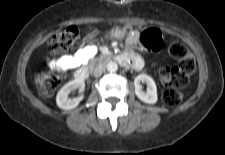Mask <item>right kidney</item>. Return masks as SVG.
<instances>
[{
  "instance_id": "1",
  "label": "right kidney",
  "mask_w": 225,
  "mask_h": 155,
  "mask_svg": "<svg viewBox=\"0 0 225 155\" xmlns=\"http://www.w3.org/2000/svg\"><path fill=\"white\" fill-rule=\"evenodd\" d=\"M85 88V82L81 79H76L65 84L57 94L56 103L61 109L69 110L78 106L83 99V95L77 98L69 99L68 95L71 91L79 89V92H83Z\"/></svg>"
}]
</instances>
